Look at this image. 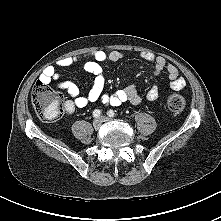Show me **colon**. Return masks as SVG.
<instances>
[{
    "mask_svg": "<svg viewBox=\"0 0 221 221\" xmlns=\"http://www.w3.org/2000/svg\"><path fill=\"white\" fill-rule=\"evenodd\" d=\"M31 102L36 114L46 121L60 118L64 110L61 96L48 84L40 81L32 89ZM166 103L168 109L174 113H181L186 106L185 99L177 94L169 95Z\"/></svg>",
    "mask_w": 221,
    "mask_h": 221,
    "instance_id": "1",
    "label": "colon"
}]
</instances>
